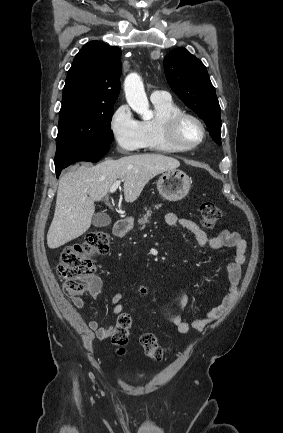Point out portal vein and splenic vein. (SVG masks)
<instances>
[{"label":"portal vein and splenic vein","mask_w":283,"mask_h":433,"mask_svg":"<svg viewBox=\"0 0 283 433\" xmlns=\"http://www.w3.org/2000/svg\"><path fill=\"white\" fill-rule=\"evenodd\" d=\"M119 184H121V180H115L114 184L110 186L109 192H115L116 188H118Z\"/></svg>","instance_id":"1"}]
</instances>
